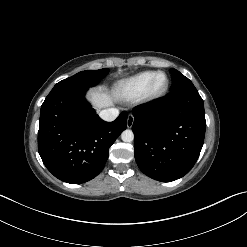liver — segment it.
<instances>
[{"mask_svg":"<svg viewBox=\"0 0 247 247\" xmlns=\"http://www.w3.org/2000/svg\"><path fill=\"white\" fill-rule=\"evenodd\" d=\"M115 97V95L101 89H91L88 93V100L98 110L113 105Z\"/></svg>","mask_w":247,"mask_h":247,"instance_id":"1","label":"liver"}]
</instances>
